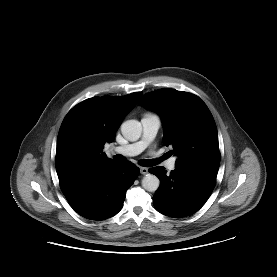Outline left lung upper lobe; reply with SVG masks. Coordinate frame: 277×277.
Returning a JSON list of instances; mask_svg holds the SVG:
<instances>
[{
  "label": "left lung upper lobe",
  "mask_w": 277,
  "mask_h": 277,
  "mask_svg": "<svg viewBox=\"0 0 277 277\" xmlns=\"http://www.w3.org/2000/svg\"><path fill=\"white\" fill-rule=\"evenodd\" d=\"M139 105L161 116L163 142L174 147L176 168H219L217 128L202 99L188 92L159 89L145 94Z\"/></svg>",
  "instance_id": "1"
}]
</instances>
